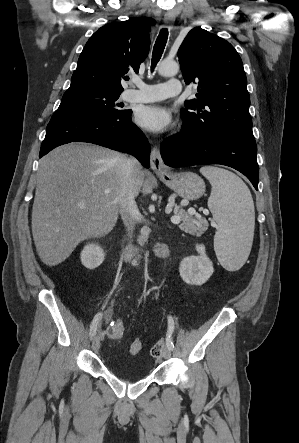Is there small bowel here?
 Returning a JSON list of instances; mask_svg holds the SVG:
<instances>
[{"instance_id":"1","label":"small bowel","mask_w":299,"mask_h":443,"mask_svg":"<svg viewBox=\"0 0 299 443\" xmlns=\"http://www.w3.org/2000/svg\"><path fill=\"white\" fill-rule=\"evenodd\" d=\"M112 314H113V306L110 305L106 310H105V320L107 322L111 321L112 318ZM107 334V330H102L100 332V337H105V335Z\"/></svg>"}]
</instances>
